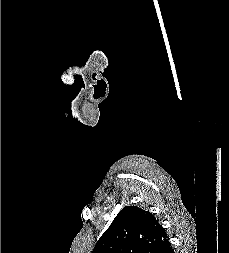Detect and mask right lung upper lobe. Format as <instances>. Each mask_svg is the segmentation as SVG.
I'll use <instances>...</instances> for the list:
<instances>
[{
	"label": "right lung upper lobe",
	"mask_w": 229,
	"mask_h": 253,
	"mask_svg": "<svg viewBox=\"0 0 229 253\" xmlns=\"http://www.w3.org/2000/svg\"><path fill=\"white\" fill-rule=\"evenodd\" d=\"M169 244L165 229L151 213L126 206L101 236L92 253H161Z\"/></svg>",
	"instance_id": "cb5924a9"
}]
</instances>
